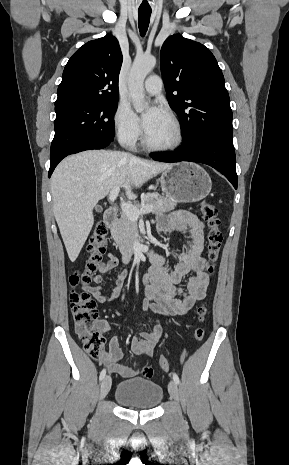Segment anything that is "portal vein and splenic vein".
Masks as SVG:
<instances>
[{
    "instance_id": "18ae733b",
    "label": "portal vein and splenic vein",
    "mask_w": 289,
    "mask_h": 465,
    "mask_svg": "<svg viewBox=\"0 0 289 465\" xmlns=\"http://www.w3.org/2000/svg\"><path fill=\"white\" fill-rule=\"evenodd\" d=\"M119 191H120V187H115L110 192L109 200L111 202H114L116 200V198H117V196L119 194ZM120 207H121L122 211L127 215V217H129L131 220H138L140 215L150 213L153 210L152 205L144 206L143 208H141L139 210L136 206H134V205H132L130 203H126V202H121Z\"/></svg>"
}]
</instances>
